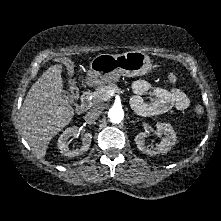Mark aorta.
I'll return each instance as SVG.
<instances>
[{"instance_id": "762f6f07", "label": "aorta", "mask_w": 221, "mask_h": 221, "mask_svg": "<svg viewBox=\"0 0 221 221\" xmlns=\"http://www.w3.org/2000/svg\"><path fill=\"white\" fill-rule=\"evenodd\" d=\"M108 117L112 123H120L124 118V111L119 106H113L108 111Z\"/></svg>"}]
</instances>
